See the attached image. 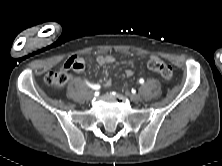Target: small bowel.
<instances>
[{
  "instance_id": "c3829d8e",
  "label": "small bowel",
  "mask_w": 222,
  "mask_h": 166,
  "mask_svg": "<svg viewBox=\"0 0 222 166\" xmlns=\"http://www.w3.org/2000/svg\"><path fill=\"white\" fill-rule=\"evenodd\" d=\"M115 61V58L112 55H98L96 57V63L99 66H106V65H110ZM64 70H74L76 72H83L85 70V61L84 59L79 56V55H73L71 57H69L63 66ZM133 75V70L128 69L125 71V76L126 77H131ZM111 80H107L104 83L105 87H109L111 86Z\"/></svg>"
}]
</instances>
